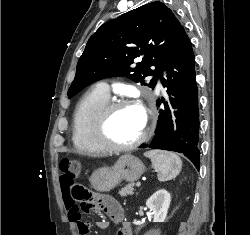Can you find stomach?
<instances>
[{"label":"stomach","mask_w":250,"mask_h":235,"mask_svg":"<svg viewBox=\"0 0 250 235\" xmlns=\"http://www.w3.org/2000/svg\"><path fill=\"white\" fill-rule=\"evenodd\" d=\"M145 171L142 161L132 154H124L111 167L96 170L90 182L98 192H109L122 181L134 182L138 180Z\"/></svg>","instance_id":"1"}]
</instances>
